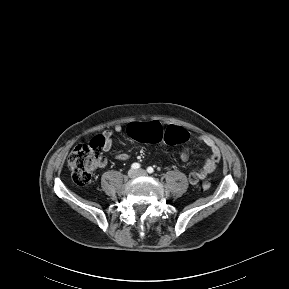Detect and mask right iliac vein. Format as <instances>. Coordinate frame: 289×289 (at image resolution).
<instances>
[{
    "label": "right iliac vein",
    "instance_id": "1",
    "mask_svg": "<svg viewBox=\"0 0 289 289\" xmlns=\"http://www.w3.org/2000/svg\"><path fill=\"white\" fill-rule=\"evenodd\" d=\"M128 176L130 178H135L137 176V171H135L134 169H131L128 171Z\"/></svg>",
    "mask_w": 289,
    "mask_h": 289
}]
</instances>
